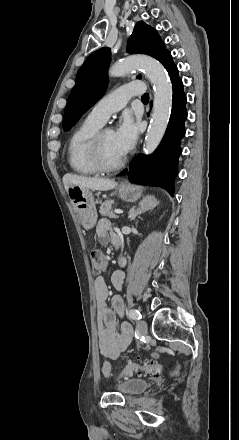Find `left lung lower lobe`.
Wrapping results in <instances>:
<instances>
[{
	"instance_id": "1",
	"label": "left lung lower lobe",
	"mask_w": 239,
	"mask_h": 440,
	"mask_svg": "<svg viewBox=\"0 0 239 440\" xmlns=\"http://www.w3.org/2000/svg\"><path fill=\"white\" fill-rule=\"evenodd\" d=\"M161 63L167 69L173 86L170 121L159 147L150 156H136L129 166L128 177L140 182L162 184L173 195L174 179L178 171V157L181 153L180 140L185 135L184 122L187 118L185 107L187 99L182 81L178 76V69L173 63L170 52L166 54ZM126 172L127 170L123 174Z\"/></svg>"
}]
</instances>
